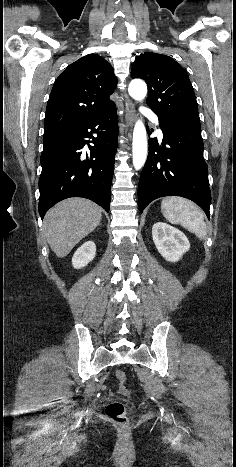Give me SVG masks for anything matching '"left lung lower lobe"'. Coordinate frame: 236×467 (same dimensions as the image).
Returning <instances> with one entry per match:
<instances>
[{"label":"left lung lower lobe","instance_id":"0a47b994","mask_svg":"<svg viewBox=\"0 0 236 467\" xmlns=\"http://www.w3.org/2000/svg\"><path fill=\"white\" fill-rule=\"evenodd\" d=\"M159 123L163 141L161 146L156 138L148 142L149 154L138 185L140 212L156 198L181 196L198 204L209 218L211 193L200 120L159 118Z\"/></svg>","mask_w":236,"mask_h":467}]
</instances>
